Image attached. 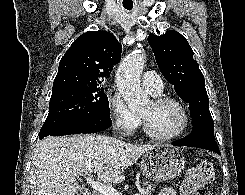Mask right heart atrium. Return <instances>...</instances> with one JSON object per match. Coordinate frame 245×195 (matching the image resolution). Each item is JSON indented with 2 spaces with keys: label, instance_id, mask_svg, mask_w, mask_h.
<instances>
[{
  "label": "right heart atrium",
  "instance_id": "right-heart-atrium-1",
  "mask_svg": "<svg viewBox=\"0 0 245 195\" xmlns=\"http://www.w3.org/2000/svg\"><path fill=\"white\" fill-rule=\"evenodd\" d=\"M106 99L108 114L113 127L125 135L132 134L140 124L138 115L127 107L124 99L117 91H109Z\"/></svg>",
  "mask_w": 245,
  "mask_h": 195
}]
</instances>
